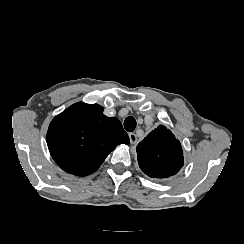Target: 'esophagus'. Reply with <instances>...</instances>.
<instances>
[{
	"label": "esophagus",
	"instance_id": "obj_1",
	"mask_svg": "<svg viewBox=\"0 0 244 244\" xmlns=\"http://www.w3.org/2000/svg\"><path fill=\"white\" fill-rule=\"evenodd\" d=\"M128 135H129L130 143L131 144H135L137 142V136H136V134L133 133V132H131Z\"/></svg>",
	"mask_w": 244,
	"mask_h": 244
}]
</instances>
